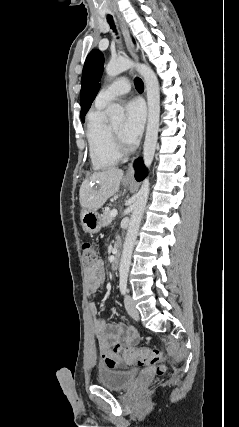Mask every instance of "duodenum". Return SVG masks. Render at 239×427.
Returning a JSON list of instances; mask_svg holds the SVG:
<instances>
[{
	"label": "duodenum",
	"mask_w": 239,
	"mask_h": 427,
	"mask_svg": "<svg viewBox=\"0 0 239 427\" xmlns=\"http://www.w3.org/2000/svg\"><path fill=\"white\" fill-rule=\"evenodd\" d=\"M111 265L113 270H118L120 265V251L118 249L114 251Z\"/></svg>",
	"instance_id": "410a0bca"
}]
</instances>
